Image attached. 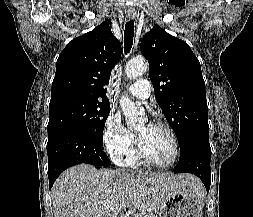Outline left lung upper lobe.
<instances>
[{"mask_svg":"<svg viewBox=\"0 0 253 217\" xmlns=\"http://www.w3.org/2000/svg\"><path fill=\"white\" fill-rule=\"evenodd\" d=\"M140 50L149 62L155 97L181 145L191 134L209 135L205 82L189 45L155 25Z\"/></svg>","mask_w":253,"mask_h":217,"instance_id":"obj_1","label":"left lung upper lobe"}]
</instances>
